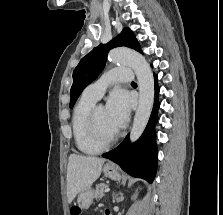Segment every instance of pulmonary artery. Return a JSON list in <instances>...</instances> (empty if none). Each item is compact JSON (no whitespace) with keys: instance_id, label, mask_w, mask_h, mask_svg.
<instances>
[{"instance_id":"obj_1","label":"pulmonary artery","mask_w":223,"mask_h":215,"mask_svg":"<svg viewBox=\"0 0 223 215\" xmlns=\"http://www.w3.org/2000/svg\"><path fill=\"white\" fill-rule=\"evenodd\" d=\"M130 78H133V69H127L126 65H117L116 69H107V73L89 85L83 95L97 101L111 84L116 82L130 83Z\"/></svg>"}]
</instances>
